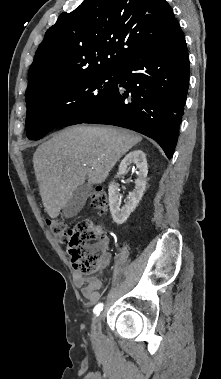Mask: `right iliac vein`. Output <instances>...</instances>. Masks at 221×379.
Segmentation results:
<instances>
[{
    "label": "right iliac vein",
    "instance_id": "63e3f726",
    "mask_svg": "<svg viewBox=\"0 0 221 379\" xmlns=\"http://www.w3.org/2000/svg\"><path fill=\"white\" fill-rule=\"evenodd\" d=\"M100 320H101L100 316H97V317H95L93 319L92 329H93V336L94 337L98 336V334H99V331H100Z\"/></svg>",
    "mask_w": 221,
    "mask_h": 379
}]
</instances>
